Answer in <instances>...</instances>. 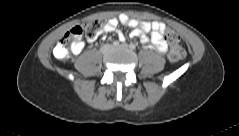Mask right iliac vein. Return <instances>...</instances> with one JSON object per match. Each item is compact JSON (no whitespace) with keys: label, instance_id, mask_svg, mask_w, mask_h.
I'll use <instances>...</instances> for the list:
<instances>
[{"label":"right iliac vein","instance_id":"63e3f726","mask_svg":"<svg viewBox=\"0 0 239 136\" xmlns=\"http://www.w3.org/2000/svg\"><path fill=\"white\" fill-rule=\"evenodd\" d=\"M110 48H111V46H109V45H103V46L101 47L100 51H101L102 53H106Z\"/></svg>","mask_w":239,"mask_h":136}]
</instances>
